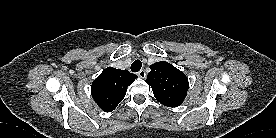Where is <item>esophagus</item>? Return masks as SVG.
<instances>
[{"mask_svg":"<svg viewBox=\"0 0 276 138\" xmlns=\"http://www.w3.org/2000/svg\"><path fill=\"white\" fill-rule=\"evenodd\" d=\"M138 76L140 78H146V72L144 69H141L139 72H138Z\"/></svg>","mask_w":276,"mask_h":138,"instance_id":"1","label":"esophagus"}]
</instances>
